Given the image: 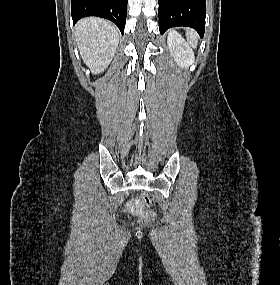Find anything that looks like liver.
I'll list each match as a JSON object with an SVG mask.
<instances>
[{"mask_svg": "<svg viewBox=\"0 0 280 285\" xmlns=\"http://www.w3.org/2000/svg\"><path fill=\"white\" fill-rule=\"evenodd\" d=\"M75 36L84 63L93 74L102 73L111 63L119 43V30L110 22L87 17L75 27Z\"/></svg>", "mask_w": 280, "mask_h": 285, "instance_id": "liver-1", "label": "liver"}]
</instances>
